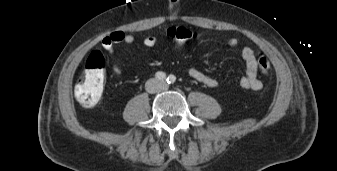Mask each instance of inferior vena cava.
Listing matches in <instances>:
<instances>
[{"instance_id": "602c4592", "label": "inferior vena cava", "mask_w": 337, "mask_h": 171, "mask_svg": "<svg viewBox=\"0 0 337 171\" xmlns=\"http://www.w3.org/2000/svg\"><path fill=\"white\" fill-rule=\"evenodd\" d=\"M157 83H158V82H157V80H155V79H153V80H151L149 83H147V85H146L147 91L150 92V93H153V92L159 90V88H158L157 86H154V85H156ZM152 85H153V86H152Z\"/></svg>"}]
</instances>
